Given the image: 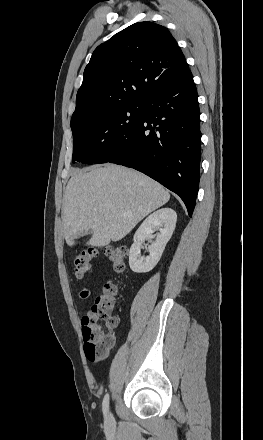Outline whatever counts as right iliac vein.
<instances>
[{
  "instance_id": "obj_1",
  "label": "right iliac vein",
  "mask_w": 263,
  "mask_h": 440,
  "mask_svg": "<svg viewBox=\"0 0 263 440\" xmlns=\"http://www.w3.org/2000/svg\"><path fill=\"white\" fill-rule=\"evenodd\" d=\"M105 425L107 428L114 425V417L111 412H108L105 416Z\"/></svg>"
}]
</instances>
